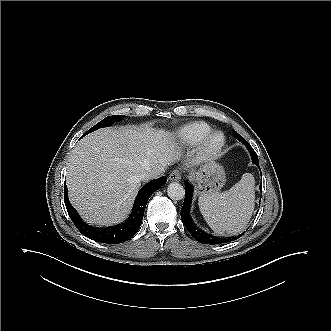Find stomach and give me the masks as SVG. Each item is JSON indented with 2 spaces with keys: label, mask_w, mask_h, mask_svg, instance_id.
Returning <instances> with one entry per match:
<instances>
[{
  "label": "stomach",
  "mask_w": 331,
  "mask_h": 331,
  "mask_svg": "<svg viewBox=\"0 0 331 331\" xmlns=\"http://www.w3.org/2000/svg\"><path fill=\"white\" fill-rule=\"evenodd\" d=\"M191 177L197 183L196 190L198 195L220 192L226 181L223 167L214 161H210L202 166Z\"/></svg>",
  "instance_id": "0dacf381"
}]
</instances>
